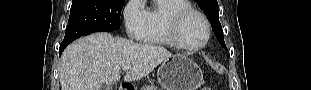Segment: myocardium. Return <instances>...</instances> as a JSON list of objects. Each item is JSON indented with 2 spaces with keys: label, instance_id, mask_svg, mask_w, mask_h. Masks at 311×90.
<instances>
[{
  "label": "myocardium",
  "instance_id": "obj_1",
  "mask_svg": "<svg viewBox=\"0 0 311 90\" xmlns=\"http://www.w3.org/2000/svg\"><path fill=\"white\" fill-rule=\"evenodd\" d=\"M191 15L199 16L204 22L206 29L205 39L203 40L202 43L198 45H190L186 43L181 36L182 24L186 20V18H188ZM169 32L171 39L173 40L176 47L187 51H198L203 49L208 44L211 37V26L208 18L202 12L194 8H186L179 10L172 15L169 21Z\"/></svg>",
  "mask_w": 311,
  "mask_h": 90
}]
</instances>
